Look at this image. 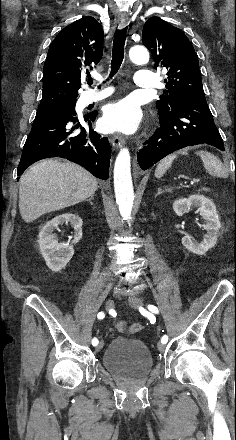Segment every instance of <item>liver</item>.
I'll list each match as a JSON object with an SVG mask.
<instances>
[{
	"mask_svg": "<svg viewBox=\"0 0 236 440\" xmlns=\"http://www.w3.org/2000/svg\"><path fill=\"white\" fill-rule=\"evenodd\" d=\"M98 188L94 176L73 163L43 160L22 176L19 187V210L30 223L40 216L76 205Z\"/></svg>",
	"mask_w": 236,
	"mask_h": 440,
	"instance_id": "obj_1",
	"label": "liver"
}]
</instances>
